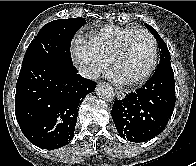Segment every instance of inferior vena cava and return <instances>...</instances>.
Segmentation results:
<instances>
[{
  "label": "inferior vena cava",
  "instance_id": "inferior-vena-cava-1",
  "mask_svg": "<svg viewBox=\"0 0 196 166\" xmlns=\"http://www.w3.org/2000/svg\"><path fill=\"white\" fill-rule=\"evenodd\" d=\"M78 72L82 77L88 79H96L99 76V72L95 68L86 65L80 66Z\"/></svg>",
  "mask_w": 196,
  "mask_h": 166
}]
</instances>
